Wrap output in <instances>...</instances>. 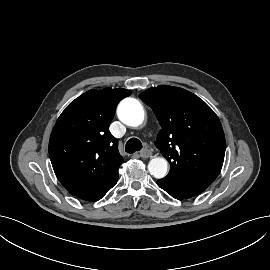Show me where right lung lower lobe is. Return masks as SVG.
I'll use <instances>...</instances> for the list:
<instances>
[{"instance_id": "98d812e1", "label": "right lung lower lobe", "mask_w": 270, "mask_h": 270, "mask_svg": "<svg viewBox=\"0 0 270 270\" xmlns=\"http://www.w3.org/2000/svg\"><path fill=\"white\" fill-rule=\"evenodd\" d=\"M117 180H118V176L104 186H101L94 190L78 193L75 196L86 201H97L101 199L102 197H104L107 191L111 189L117 183Z\"/></svg>"}]
</instances>
